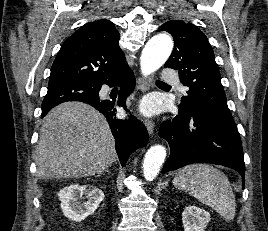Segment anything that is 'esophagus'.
<instances>
[{
  "mask_svg": "<svg viewBox=\"0 0 268 231\" xmlns=\"http://www.w3.org/2000/svg\"><path fill=\"white\" fill-rule=\"evenodd\" d=\"M149 87H150V83L148 80L142 78V77H138L137 79V88L139 91H141L142 93L146 92L149 90ZM145 126H146V129L148 131V133L150 135L153 134V131H154V127H155V124L154 122L147 118L145 119Z\"/></svg>",
  "mask_w": 268,
  "mask_h": 231,
  "instance_id": "esophagus-1",
  "label": "esophagus"
}]
</instances>
